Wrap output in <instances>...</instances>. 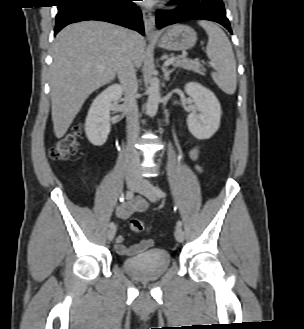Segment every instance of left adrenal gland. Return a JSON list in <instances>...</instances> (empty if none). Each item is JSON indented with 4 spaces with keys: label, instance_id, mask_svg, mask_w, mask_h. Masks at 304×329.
Here are the masks:
<instances>
[{
    "label": "left adrenal gland",
    "instance_id": "left-adrenal-gland-1",
    "mask_svg": "<svg viewBox=\"0 0 304 329\" xmlns=\"http://www.w3.org/2000/svg\"><path fill=\"white\" fill-rule=\"evenodd\" d=\"M174 70H175V69H170V70H168L164 65L162 66V71H163V74H164V79H165L166 81H169V79H170V75H171V73L174 72Z\"/></svg>",
    "mask_w": 304,
    "mask_h": 329
}]
</instances>
